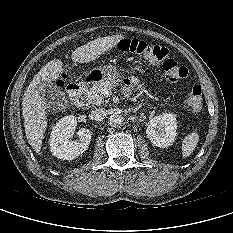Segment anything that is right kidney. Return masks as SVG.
<instances>
[{
    "label": "right kidney",
    "instance_id": "1",
    "mask_svg": "<svg viewBox=\"0 0 233 233\" xmlns=\"http://www.w3.org/2000/svg\"><path fill=\"white\" fill-rule=\"evenodd\" d=\"M77 126V119L73 115L61 118L54 125L50 139V151L62 160H73L82 155L88 148L92 134L90 130L81 128L78 132V139L70 141Z\"/></svg>",
    "mask_w": 233,
    "mask_h": 233
}]
</instances>
